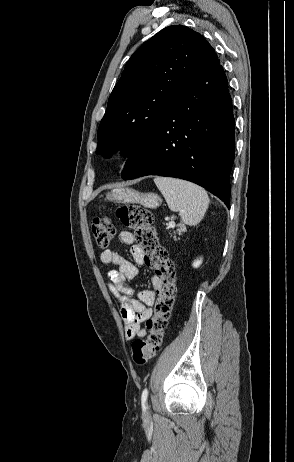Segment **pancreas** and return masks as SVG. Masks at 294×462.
I'll list each match as a JSON object with an SVG mask.
<instances>
[{"label": "pancreas", "mask_w": 294, "mask_h": 462, "mask_svg": "<svg viewBox=\"0 0 294 462\" xmlns=\"http://www.w3.org/2000/svg\"><path fill=\"white\" fill-rule=\"evenodd\" d=\"M177 231H178V234H182L186 231V227L184 225H180ZM174 239L175 240L177 239L176 236H174Z\"/></svg>", "instance_id": "obj_1"}]
</instances>
